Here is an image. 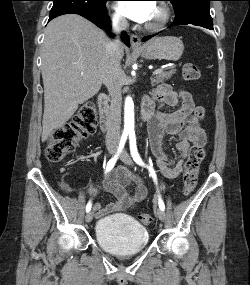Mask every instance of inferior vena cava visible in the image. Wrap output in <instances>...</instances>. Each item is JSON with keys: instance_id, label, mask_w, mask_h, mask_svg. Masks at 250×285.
Listing matches in <instances>:
<instances>
[{"instance_id": "1", "label": "inferior vena cava", "mask_w": 250, "mask_h": 285, "mask_svg": "<svg viewBox=\"0 0 250 285\" xmlns=\"http://www.w3.org/2000/svg\"><path fill=\"white\" fill-rule=\"evenodd\" d=\"M128 25V21L124 17L113 16L112 31L116 34V39L107 45L106 55L102 63V80L111 97L106 134L108 146L117 145L120 140L123 71L120 65L122 56L119 34L127 29Z\"/></svg>"}]
</instances>
